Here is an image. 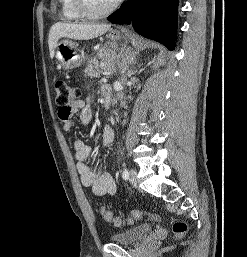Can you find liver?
Segmentation results:
<instances>
[{
    "label": "liver",
    "instance_id": "liver-1",
    "mask_svg": "<svg viewBox=\"0 0 247 257\" xmlns=\"http://www.w3.org/2000/svg\"><path fill=\"white\" fill-rule=\"evenodd\" d=\"M109 24H77V23H55L50 31L48 37V46L50 57L53 58L55 48L60 38H70L75 40H89L100 36L110 29Z\"/></svg>",
    "mask_w": 247,
    "mask_h": 257
}]
</instances>
